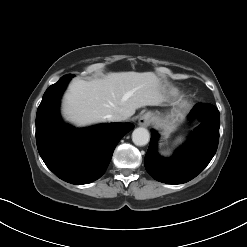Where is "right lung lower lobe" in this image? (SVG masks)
<instances>
[{"instance_id":"98d812e1","label":"right lung lower lobe","mask_w":247,"mask_h":247,"mask_svg":"<svg viewBox=\"0 0 247 247\" xmlns=\"http://www.w3.org/2000/svg\"><path fill=\"white\" fill-rule=\"evenodd\" d=\"M72 77H61L44 93L36 115V142L41 158L57 177L72 184H87L105 173L116 145L134 126L110 123L74 129L64 124L59 102Z\"/></svg>"}]
</instances>
